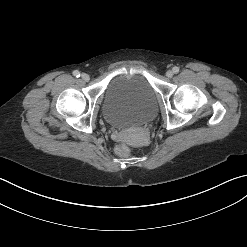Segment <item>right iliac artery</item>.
Wrapping results in <instances>:
<instances>
[{
	"label": "right iliac artery",
	"mask_w": 247,
	"mask_h": 247,
	"mask_svg": "<svg viewBox=\"0 0 247 247\" xmlns=\"http://www.w3.org/2000/svg\"><path fill=\"white\" fill-rule=\"evenodd\" d=\"M73 75L78 78L80 77V72L78 70H75L73 71Z\"/></svg>",
	"instance_id": "obj_1"
}]
</instances>
